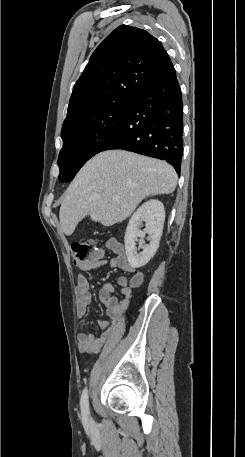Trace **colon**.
Masks as SVG:
<instances>
[{
  "label": "colon",
  "mask_w": 245,
  "mask_h": 457,
  "mask_svg": "<svg viewBox=\"0 0 245 457\" xmlns=\"http://www.w3.org/2000/svg\"><path fill=\"white\" fill-rule=\"evenodd\" d=\"M72 261L75 265H81L94 258L99 249L91 240L74 242L70 246Z\"/></svg>",
  "instance_id": "obj_1"
}]
</instances>
